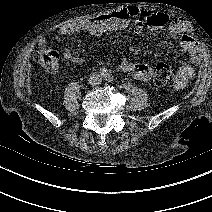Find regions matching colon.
Here are the masks:
<instances>
[{
	"label": "colon",
	"instance_id": "1",
	"mask_svg": "<svg viewBox=\"0 0 212 212\" xmlns=\"http://www.w3.org/2000/svg\"><path fill=\"white\" fill-rule=\"evenodd\" d=\"M35 60L47 71L55 72L60 65V56L54 50H39L34 55ZM154 82L159 86H170L174 82V74L171 66L166 63H158L154 70Z\"/></svg>",
	"mask_w": 212,
	"mask_h": 212
}]
</instances>
